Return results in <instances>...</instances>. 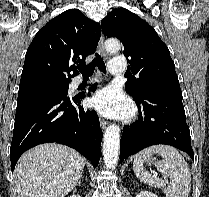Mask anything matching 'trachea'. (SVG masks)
Here are the masks:
<instances>
[{"instance_id": "1", "label": "trachea", "mask_w": 209, "mask_h": 197, "mask_svg": "<svg viewBox=\"0 0 209 197\" xmlns=\"http://www.w3.org/2000/svg\"><path fill=\"white\" fill-rule=\"evenodd\" d=\"M95 67H98L100 71L106 73V66L99 54H95L94 60L87 66H78L79 71L84 77L91 76L94 73Z\"/></svg>"}]
</instances>
